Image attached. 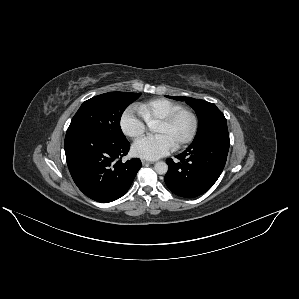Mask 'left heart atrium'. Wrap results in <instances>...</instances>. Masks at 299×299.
Masks as SVG:
<instances>
[{
	"instance_id": "obj_1",
	"label": "left heart atrium",
	"mask_w": 299,
	"mask_h": 299,
	"mask_svg": "<svg viewBox=\"0 0 299 299\" xmlns=\"http://www.w3.org/2000/svg\"><path fill=\"white\" fill-rule=\"evenodd\" d=\"M175 148L170 139L163 134L144 137L136 141L132 147L134 155L148 160L159 159Z\"/></svg>"
}]
</instances>
